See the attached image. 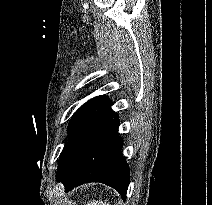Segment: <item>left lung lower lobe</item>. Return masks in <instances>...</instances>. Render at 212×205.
Listing matches in <instances>:
<instances>
[{"instance_id": "left-lung-lower-lobe-1", "label": "left lung lower lobe", "mask_w": 212, "mask_h": 205, "mask_svg": "<svg viewBox=\"0 0 212 205\" xmlns=\"http://www.w3.org/2000/svg\"><path fill=\"white\" fill-rule=\"evenodd\" d=\"M118 125L109 98L102 96L76 129L57 177L66 192L83 183L101 182L126 198L130 172L121 152Z\"/></svg>"}]
</instances>
